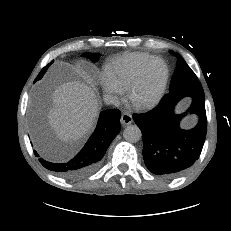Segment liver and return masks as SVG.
Returning <instances> with one entry per match:
<instances>
[{"label":"liver","mask_w":231,"mask_h":231,"mask_svg":"<svg viewBox=\"0 0 231 231\" xmlns=\"http://www.w3.org/2000/svg\"><path fill=\"white\" fill-rule=\"evenodd\" d=\"M51 99L52 107L47 112V120L61 141L73 143L92 131L100 107L90 80L63 83L55 88ZM30 130L37 149L47 154L46 141L35 113L31 116Z\"/></svg>","instance_id":"liver-1"}]
</instances>
